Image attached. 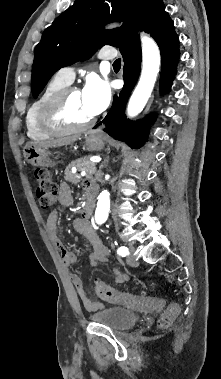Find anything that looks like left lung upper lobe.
Segmentation results:
<instances>
[{
    "label": "left lung upper lobe",
    "mask_w": 221,
    "mask_h": 379,
    "mask_svg": "<svg viewBox=\"0 0 221 379\" xmlns=\"http://www.w3.org/2000/svg\"><path fill=\"white\" fill-rule=\"evenodd\" d=\"M162 0H76L55 19L36 46L32 67V94L36 98L60 68L91 57L105 44L119 47L142 28ZM122 21L119 29L103 30L106 23Z\"/></svg>",
    "instance_id": "1"
}]
</instances>
